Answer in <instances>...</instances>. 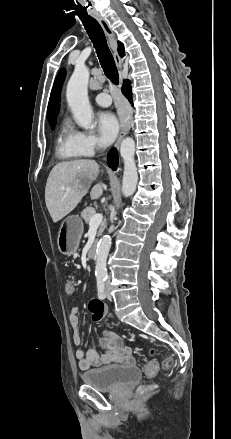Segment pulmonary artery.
<instances>
[{
    "mask_svg": "<svg viewBox=\"0 0 231 439\" xmlns=\"http://www.w3.org/2000/svg\"><path fill=\"white\" fill-rule=\"evenodd\" d=\"M95 102L101 107H108L111 105L112 99L108 93L102 92L95 97Z\"/></svg>",
    "mask_w": 231,
    "mask_h": 439,
    "instance_id": "e3ab8cb5",
    "label": "pulmonary artery"
}]
</instances>
